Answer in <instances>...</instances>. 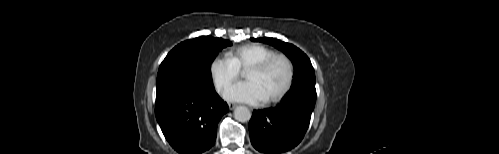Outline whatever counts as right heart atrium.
<instances>
[{
  "instance_id": "1",
  "label": "right heart atrium",
  "mask_w": 499,
  "mask_h": 154,
  "mask_svg": "<svg viewBox=\"0 0 499 154\" xmlns=\"http://www.w3.org/2000/svg\"><path fill=\"white\" fill-rule=\"evenodd\" d=\"M210 78L218 92L236 80L241 70L227 56L215 57L209 65Z\"/></svg>"
}]
</instances>
